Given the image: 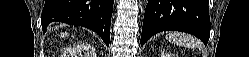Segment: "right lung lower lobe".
Masks as SVG:
<instances>
[{
	"label": "right lung lower lobe",
	"mask_w": 249,
	"mask_h": 57,
	"mask_svg": "<svg viewBox=\"0 0 249 57\" xmlns=\"http://www.w3.org/2000/svg\"><path fill=\"white\" fill-rule=\"evenodd\" d=\"M114 0H46L41 24L43 28L59 21L83 26L96 32L109 46Z\"/></svg>",
	"instance_id": "right-lung-lower-lobe-1"
}]
</instances>
